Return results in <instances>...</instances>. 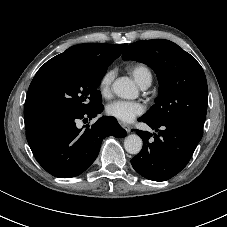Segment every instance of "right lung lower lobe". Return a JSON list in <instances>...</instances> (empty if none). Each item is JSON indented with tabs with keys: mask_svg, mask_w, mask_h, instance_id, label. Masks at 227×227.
<instances>
[{
	"mask_svg": "<svg viewBox=\"0 0 227 227\" xmlns=\"http://www.w3.org/2000/svg\"><path fill=\"white\" fill-rule=\"evenodd\" d=\"M103 109L100 104L78 114L49 115L26 128L28 144L38 163L59 178H71L84 172L96 159L105 137L126 136L114 117L103 116L85 129L77 127L78 119L91 120Z\"/></svg>",
	"mask_w": 227,
	"mask_h": 227,
	"instance_id": "obj_1",
	"label": "right lung lower lobe"
}]
</instances>
